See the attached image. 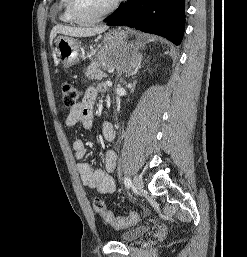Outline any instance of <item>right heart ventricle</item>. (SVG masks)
<instances>
[{"label": "right heart ventricle", "mask_w": 247, "mask_h": 257, "mask_svg": "<svg viewBox=\"0 0 247 257\" xmlns=\"http://www.w3.org/2000/svg\"><path fill=\"white\" fill-rule=\"evenodd\" d=\"M60 4L62 6L61 20L68 23L76 22L70 11V0H60Z\"/></svg>", "instance_id": "e07e8e85"}]
</instances>
